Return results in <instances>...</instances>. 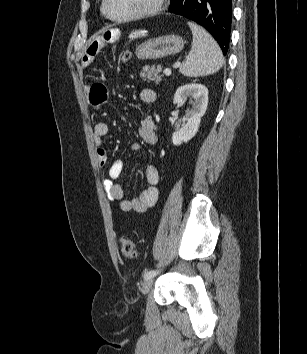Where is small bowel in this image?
Segmentation results:
<instances>
[{
	"label": "small bowel",
	"mask_w": 307,
	"mask_h": 354,
	"mask_svg": "<svg viewBox=\"0 0 307 354\" xmlns=\"http://www.w3.org/2000/svg\"><path fill=\"white\" fill-rule=\"evenodd\" d=\"M121 32L119 29L106 30L101 38L92 41L86 48L82 59V68H87L94 62L96 54L103 48L105 43H115L119 40ZM90 102L94 106H99L105 102L106 88L102 84H94L86 86ZM140 100L143 104H151L156 100V93L151 89H145L140 93ZM108 125L104 122H98L93 129L94 141L97 147L98 162L101 166L107 163V153L103 145V139L108 134ZM139 133L143 144L154 145L158 141V128L154 118L151 115H145L140 123ZM132 149L141 150L140 143H134ZM124 170V162L117 159L112 162L109 168V179L104 181V188L107 196L112 201H118L120 210L123 212L143 213L151 208L158 199L157 185L159 182V171L156 166L148 165L145 169V178L148 186L135 199L124 198L122 186L115 180L122 176Z\"/></svg>",
	"instance_id": "obj_1"
}]
</instances>
